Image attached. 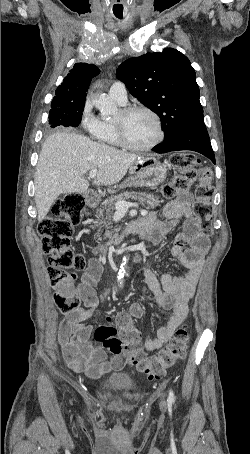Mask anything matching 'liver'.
I'll return each mask as SVG.
<instances>
[{"instance_id": "6515ba94", "label": "liver", "mask_w": 250, "mask_h": 454, "mask_svg": "<svg viewBox=\"0 0 250 454\" xmlns=\"http://www.w3.org/2000/svg\"><path fill=\"white\" fill-rule=\"evenodd\" d=\"M140 157L120 151L76 133H54L41 149L35 171V202L38 221L63 193H85V174L97 170L94 185L118 183Z\"/></svg>"}]
</instances>
